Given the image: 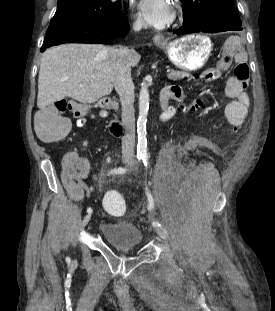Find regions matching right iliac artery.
I'll use <instances>...</instances> for the list:
<instances>
[{
    "instance_id": "82829eb1",
    "label": "right iliac artery",
    "mask_w": 275,
    "mask_h": 311,
    "mask_svg": "<svg viewBox=\"0 0 275 311\" xmlns=\"http://www.w3.org/2000/svg\"><path fill=\"white\" fill-rule=\"evenodd\" d=\"M140 159H142V154H137V160L139 161ZM128 169L127 168H115V169H112L108 172V175H112V174H124ZM87 212L88 213H92V209L89 207L87 209Z\"/></svg>"
}]
</instances>
